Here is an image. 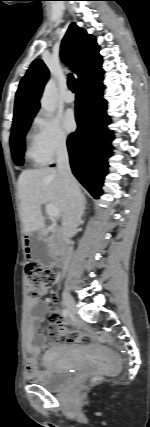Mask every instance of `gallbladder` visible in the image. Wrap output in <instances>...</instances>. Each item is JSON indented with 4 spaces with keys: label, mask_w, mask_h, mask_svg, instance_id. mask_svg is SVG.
<instances>
[{
    "label": "gallbladder",
    "mask_w": 150,
    "mask_h": 427,
    "mask_svg": "<svg viewBox=\"0 0 150 427\" xmlns=\"http://www.w3.org/2000/svg\"><path fill=\"white\" fill-rule=\"evenodd\" d=\"M31 257L44 266H48L53 261V255L48 249V245L38 235L31 237Z\"/></svg>",
    "instance_id": "obj_1"
}]
</instances>
